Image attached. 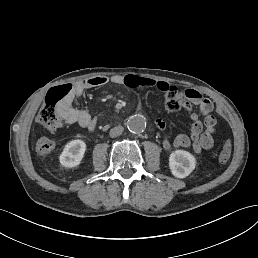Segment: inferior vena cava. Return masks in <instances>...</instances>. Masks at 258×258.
Returning <instances> with one entry per match:
<instances>
[{
    "instance_id": "obj_1",
    "label": "inferior vena cava",
    "mask_w": 258,
    "mask_h": 258,
    "mask_svg": "<svg viewBox=\"0 0 258 258\" xmlns=\"http://www.w3.org/2000/svg\"><path fill=\"white\" fill-rule=\"evenodd\" d=\"M124 131V128L122 126H116L110 130V137L114 138L119 135H121Z\"/></svg>"
}]
</instances>
